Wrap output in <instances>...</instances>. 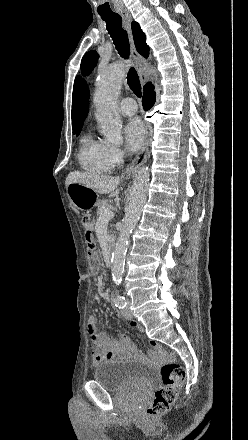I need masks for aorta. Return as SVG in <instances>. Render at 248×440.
Instances as JSON below:
<instances>
[{
	"label": "aorta",
	"instance_id": "aorta-1",
	"mask_svg": "<svg viewBox=\"0 0 248 440\" xmlns=\"http://www.w3.org/2000/svg\"><path fill=\"white\" fill-rule=\"evenodd\" d=\"M126 70L127 64L118 62L102 71L97 81L94 97L96 119L100 125L101 133L109 143L115 145H119L123 141L122 122L118 114L117 103ZM149 178V168L142 167L133 181L130 200L125 210L122 228L111 259L112 277L116 284H119L122 280L130 235L146 202Z\"/></svg>",
	"mask_w": 248,
	"mask_h": 440
}]
</instances>
